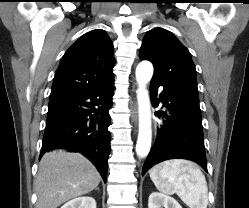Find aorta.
Masks as SVG:
<instances>
[{"mask_svg":"<svg viewBox=\"0 0 249 208\" xmlns=\"http://www.w3.org/2000/svg\"><path fill=\"white\" fill-rule=\"evenodd\" d=\"M153 76V65L149 61H142L136 68L138 83L137 99L139 105V133L136 153L139 157L148 155L151 147L152 130L150 118V100L146 84Z\"/></svg>","mask_w":249,"mask_h":208,"instance_id":"aorta-1","label":"aorta"}]
</instances>
